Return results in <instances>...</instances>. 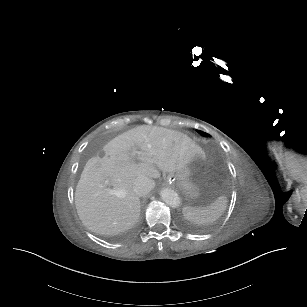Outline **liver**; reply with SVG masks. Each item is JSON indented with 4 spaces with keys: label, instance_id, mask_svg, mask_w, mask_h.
Returning <instances> with one entry per match:
<instances>
[{
    "label": "liver",
    "instance_id": "1",
    "mask_svg": "<svg viewBox=\"0 0 307 307\" xmlns=\"http://www.w3.org/2000/svg\"><path fill=\"white\" fill-rule=\"evenodd\" d=\"M198 152L187 134L161 126L140 125L116 136L87 161L76 186L75 205L83 225L101 235L132 228L141 211L135 179L159 178V170L176 172Z\"/></svg>",
    "mask_w": 307,
    "mask_h": 307
}]
</instances>
